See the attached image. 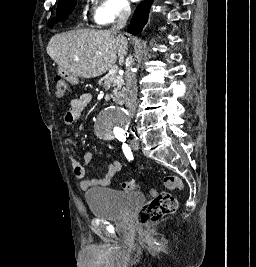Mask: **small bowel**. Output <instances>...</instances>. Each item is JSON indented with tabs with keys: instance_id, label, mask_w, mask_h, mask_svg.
Listing matches in <instances>:
<instances>
[{
	"instance_id": "c3829d8e",
	"label": "small bowel",
	"mask_w": 256,
	"mask_h": 267,
	"mask_svg": "<svg viewBox=\"0 0 256 267\" xmlns=\"http://www.w3.org/2000/svg\"><path fill=\"white\" fill-rule=\"evenodd\" d=\"M92 96L90 93H83L78 98L71 100L70 107L63 117L65 125L72 124L77 120L86 106L91 102ZM66 145L68 147L77 146L78 143L75 139H67ZM83 158L86 164H89L92 160V154L89 151H85ZM72 171L75 177L81 179L80 186L83 190H88L93 186H107L111 183L116 173L121 169V163L117 160L109 164L105 174L100 178L86 179L85 167L73 156H70Z\"/></svg>"
}]
</instances>
